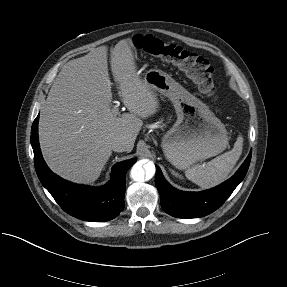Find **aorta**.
Wrapping results in <instances>:
<instances>
[{
	"mask_svg": "<svg viewBox=\"0 0 287 287\" xmlns=\"http://www.w3.org/2000/svg\"><path fill=\"white\" fill-rule=\"evenodd\" d=\"M155 174V165L152 161H138L130 171V177L134 181H144L145 178H152Z\"/></svg>",
	"mask_w": 287,
	"mask_h": 287,
	"instance_id": "obj_1",
	"label": "aorta"
}]
</instances>
